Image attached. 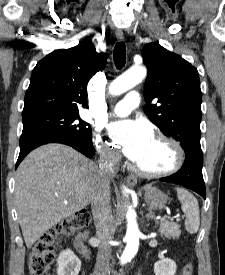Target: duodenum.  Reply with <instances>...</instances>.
<instances>
[{
    "label": "duodenum",
    "instance_id": "410a0bca",
    "mask_svg": "<svg viewBox=\"0 0 225 275\" xmlns=\"http://www.w3.org/2000/svg\"><path fill=\"white\" fill-rule=\"evenodd\" d=\"M88 236H89L88 231H82L76 237V249L78 253L85 258H89L90 256V250L86 243Z\"/></svg>",
    "mask_w": 225,
    "mask_h": 275
}]
</instances>
